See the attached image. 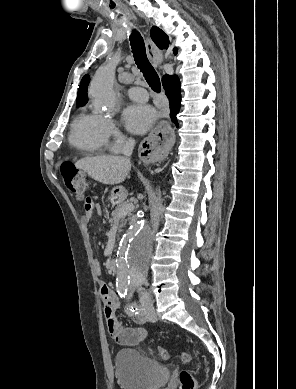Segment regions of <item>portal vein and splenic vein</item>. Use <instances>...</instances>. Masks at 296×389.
<instances>
[{
    "mask_svg": "<svg viewBox=\"0 0 296 389\" xmlns=\"http://www.w3.org/2000/svg\"><path fill=\"white\" fill-rule=\"evenodd\" d=\"M134 210V205L133 204H126L124 205L119 212V216L126 215L127 213L131 212Z\"/></svg>",
    "mask_w": 296,
    "mask_h": 389,
    "instance_id": "obj_1",
    "label": "portal vein and splenic vein"
}]
</instances>
